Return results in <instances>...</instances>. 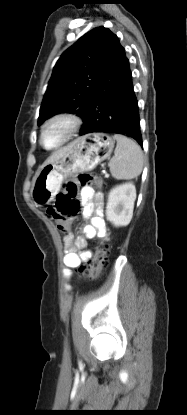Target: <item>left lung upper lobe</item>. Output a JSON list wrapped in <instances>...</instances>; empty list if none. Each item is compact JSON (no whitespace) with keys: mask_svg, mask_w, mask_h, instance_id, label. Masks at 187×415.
I'll return each mask as SVG.
<instances>
[{"mask_svg":"<svg viewBox=\"0 0 187 415\" xmlns=\"http://www.w3.org/2000/svg\"><path fill=\"white\" fill-rule=\"evenodd\" d=\"M117 39L108 28L98 27L61 55L41 104L38 125L61 112L77 114L83 120L95 115L91 97Z\"/></svg>","mask_w":187,"mask_h":415,"instance_id":"1","label":"left lung upper lobe"}]
</instances>
